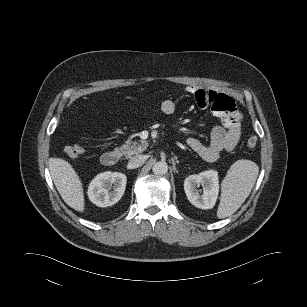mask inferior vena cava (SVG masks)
I'll return each instance as SVG.
<instances>
[{"mask_svg":"<svg viewBox=\"0 0 307 307\" xmlns=\"http://www.w3.org/2000/svg\"><path fill=\"white\" fill-rule=\"evenodd\" d=\"M145 159L144 155L134 156L129 160L128 167L131 169L141 167L145 163Z\"/></svg>","mask_w":307,"mask_h":307,"instance_id":"obj_1","label":"inferior vena cava"}]
</instances>
